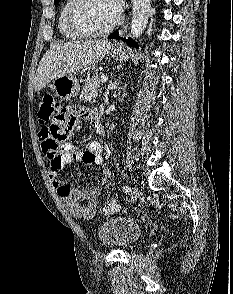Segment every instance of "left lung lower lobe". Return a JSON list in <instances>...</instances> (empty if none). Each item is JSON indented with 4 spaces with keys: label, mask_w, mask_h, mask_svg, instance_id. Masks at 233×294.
<instances>
[{
    "label": "left lung lower lobe",
    "mask_w": 233,
    "mask_h": 294,
    "mask_svg": "<svg viewBox=\"0 0 233 294\" xmlns=\"http://www.w3.org/2000/svg\"><path fill=\"white\" fill-rule=\"evenodd\" d=\"M108 38H110V39H121L120 37H119V35H118V30H116L115 32H113L112 34H110L109 36H108ZM122 40L124 41V42H126L129 46H131V47H135V46H137L138 47V44L137 43H135V41L134 40H132L131 38H128V40H126L125 38H122Z\"/></svg>",
    "instance_id": "left-lung-lower-lobe-1"
}]
</instances>
